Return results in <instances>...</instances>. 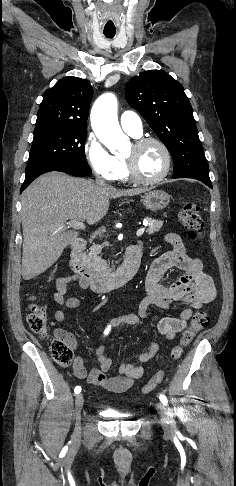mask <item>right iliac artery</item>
Listing matches in <instances>:
<instances>
[{
	"instance_id": "right-iliac-artery-1",
	"label": "right iliac artery",
	"mask_w": 236,
	"mask_h": 486,
	"mask_svg": "<svg viewBox=\"0 0 236 486\" xmlns=\"http://www.w3.org/2000/svg\"><path fill=\"white\" fill-rule=\"evenodd\" d=\"M110 331V326H108L104 332L105 335H107ZM74 392L76 394L80 393L81 392V387L80 386H76L75 389H74Z\"/></svg>"
}]
</instances>
